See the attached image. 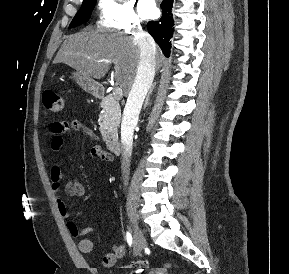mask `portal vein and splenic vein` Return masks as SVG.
Here are the masks:
<instances>
[{"label": "portal vein and splenic vein", "instance_id": "1", "mask_svg": "<svg viewBox=\"0 0 289 274\" xmlns=\"http://www.w3.org/2000/svg\"><path fill=\"white\" fill-rule=\"evenodd\" d=\"M113 96L117 99H120L122 98L123 96V90H122V87H115L114 90H113Z\"/></svg>", "mask_w": 289, "mask_h": 274}]
</instances>
